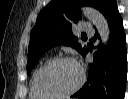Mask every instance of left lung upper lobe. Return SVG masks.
<instances>
[{
  "mask_svg": "<svg viewBox=\"0 0 128 99\" xmlns=\"http://www.w3.org/2000/svg\"><path fill=\"white\" fill-rule=\"evenodd\" d=\"M104 2L105 0H53L43 8L31 31L28 47V75L40 56L53 46L64 43L84 55L87 48H82L78 38L73 36L72 23L80 19L81 6L87 5L102 11Z\"/></svg>",
  "mask_w": 128,
  "mask_h": 99,
  "instance_id": "left-lung-upper-lobe-1",
  "label": "left lung upper lobe"
}]
</instances>
